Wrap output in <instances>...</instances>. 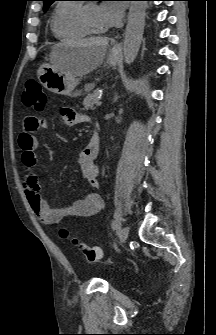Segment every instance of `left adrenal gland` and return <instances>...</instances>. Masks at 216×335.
Returning a JSON list of instances; mask_svg holds the SVG:
<instances>
[{"mask_svg":"<svg viewBox=\"0 0 216 335\" xmlns=\"http://www.w3.org/2000/svg\"><path fill=\"white\" fill-rule=\"evenodd\" d=\"M118 98H119V96H118V94L116 93V94H115L114 101H117V100H118Z\"/></svg>","mask_w":216,"mask_h":335,"instance_id":"left-adrenal-gland-1","label":"left adrenal gland"}]
</instances>
